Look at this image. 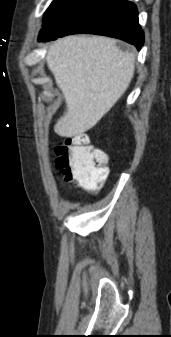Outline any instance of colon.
<instances>
[{"instance_id": "5ec220e1", "label": "colon", "mask_w": 171, "mask_h": 337, "mask_svg": "<svg viewBox=\"0 0 171 337\" xmlns=\"http://www.w3.org/2000/svg\"><path fill=\"white\" fill-rule=\"evenodd\" d=\"M55 165L66 182L97 193L108 176L106 153L94 147L86 134L67 136L55 148Z\"/></svg>"}]
</instances>
